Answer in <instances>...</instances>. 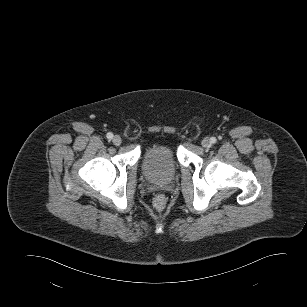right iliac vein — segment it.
<instances>
[{
  "label": "right iliac vein",
  "mask_w": 307,
  "mask_h": 307,
  "mask_svg": "<svg viewBox=\"0 0 307 307\" xmlns=\"http://www.w3.org/2000/svg\"><path fill=\"white\" fill-rule=\"evenodd\" d=\"M112 142H113L114 145L119 146L122 142V139H121L120 136L116 135V136H114Z\"/></svg>",
  "instance_id": "obj_1"
}]
</instances>
